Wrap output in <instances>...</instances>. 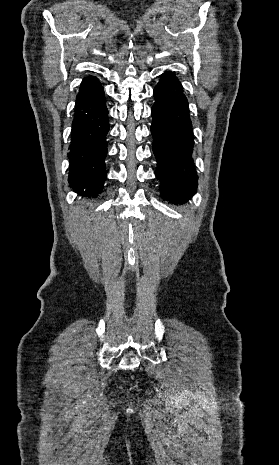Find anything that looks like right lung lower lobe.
Here are the masks:
<instances>
[{
	"instance_id": "right-lung-lower-lobe-1",
	"label": "right lung lower lobe",
	"mask_w": 279,
	"mask_h": 465,
	"mask_svg": "<svg viewBox=\"0 0 279 465\" xmlns=\"http://www.w3.org/2000/svg\"><path fill=\"white\" fill-rule=\"evenodd\" d=\"M108 110L96 78L82 82L76 98L68 153L69 183L80 195L100 193L106 179Z\"/></svg>"
}]
</instances>
